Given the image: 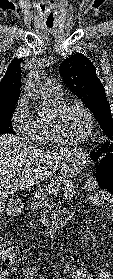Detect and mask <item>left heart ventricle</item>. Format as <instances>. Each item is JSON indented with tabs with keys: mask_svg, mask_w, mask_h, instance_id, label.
Masks as SVG:
<instances>
[{
	"mask_svg": "<svg viewBox=\"0 0 113 279\" xmlns=\"http://www.w3.org/2000/svg\"><path fill=\"white\" fill-rule=\"evenodd\" d=\"M56 124L60 132L68 137L82 136L88 128V120L83 110L76 104L66 106L57 116Z\"/></svg>",
	"mask_w": 113,
	"mask_h": 279,
	"instance_id": "obj_1",
	"label": "left heart ventricle"
}]
</instances>
